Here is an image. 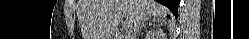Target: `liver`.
<instances>
[{
    "label": "liver",
    "instance_id": "1",
    "mask_svg": "<svg viewBox=\"0 0 249 39\" xmlns=\"http://www.w3.org/2000/svg\"><path fill=\"white\" fill-rule=\"evenodd\" d=\"M168 10L153 0H82L79 21L84 39H112L121 21L131 29L136 17L164 18Z\"/></svg>",
    "mask_w": 249,
    "mask_h": 39
}]
</instances>
